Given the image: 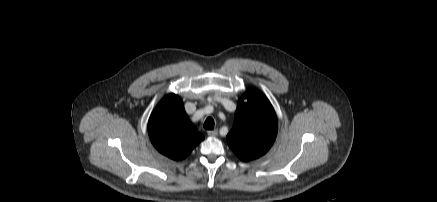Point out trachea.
<instances>
[{
	"instance_id": "1",
	"label": "trachea",
	"mask_w": 437,
	"mask_h": 202,
	"mask_svg": "<svg viewBox=\"0 0 437 202\" xmlns=\"http://www.w3.org/2000/svg\"><path fill=\"white\" fill-rule=\"evenodd\" d=\"M204 128L207 130H213L214 129V120L211 117H208L204 122Z\"/></svg>"
}]
</instances>
